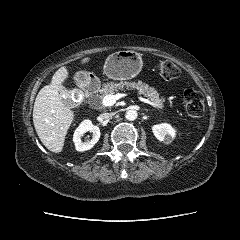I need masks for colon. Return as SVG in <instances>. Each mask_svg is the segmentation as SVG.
<instances>
[{
  "label": "colon",
  "mask_w": 240,
  "mask_h": 240,
  "mask_svg": "<svg viewBox=\"0 0 240 240\" xmlns=\"http://www.w3.org/2000/svg\"><path fill=\"white\" fill-rule=\"evenodd\" d=\"M159 76L165 80H172L179 76L178 66L167 60L159 61L156 65ZM184 105L188 116L199 119L204 113V99L200 92L189 86L183 93Z\"/></svg>",
  "instance_id": "5ec220e1"
}]
</instances>
